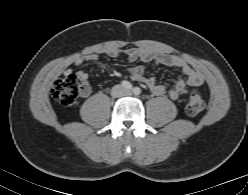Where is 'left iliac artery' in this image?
Masks as SVG:
<instances>
[{
    "mask_svg": "<svg viewBox=\"0 0 248 195\" xmlns=\"http://www.w3.org/2000/svg\"><path fill=\"white\" fill-rule=\"evenodd\" d=\"M133 92H134L135 95H139L141 93V89L139 87H135L133 89Z\"/></svg>",
    "mask_w": 248,
    "mask_h": 195,
    "instance_id": "obj_1",
    "label": "left iliac artery"
}]
</instances>
